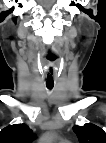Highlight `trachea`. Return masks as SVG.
Returning a JSON list of instances; mask_svg holds the SVG:
<instances>
[{
    "label": "trachea",
    "instance_id": "3493384b",
    "mask_svg": "<svg viewBox=\"0 0 106 143\" xmlns=\"http://www.w3.org/2000/svg\"><path fill=\"white\" fill-rule=\"evenodd\" d=\"M46 86H47V88H48V89H52V88H53V86H54V83H51V84L46 83Z\"/></svg>",
    "mask_w": 106,
    "mask_h": 143
}]
</instances>
